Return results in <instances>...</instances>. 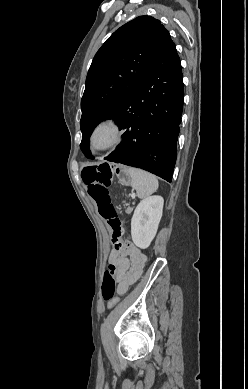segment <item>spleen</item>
Instances as JSON below:
<instances>
[{
	"label": "spleen",
	"instance_id": "spleen-1",
	"mask_svg": "<svg viewBox=\"0 0 248 389\" xmlns=\"http://www.w3.org/2000/svg\"><path fill=\"white\" fill-rule=\"evenodd\" d=\"M126 172L130 177L131 186L136 190L140 199L146 198L157 191L158 180L153 174L132 167L127 168Z\"/></svg>",
	"mask_w": 248,
	"mask_h": 389
}]
</instances>
